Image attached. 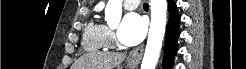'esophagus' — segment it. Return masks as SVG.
Wrapping results in <instances>:
<instances>
[{
    "instance_id": "obj_1",
    "label": "esophagus",
    "mask_w": 246,
    "mask_h": 69,
    "mask_svg": "<svg viewBox=\"0 0 246 69\" xmlns=\"http://www.w3.org/2000/svg\"><path fill=\"white\" fill-rule=\"evenodd\" d=\"M143 51H144L143 45L133 49L129 53V60H131L133 62H140L142 55H143Z\"/></svg>"
}]
</instances>
